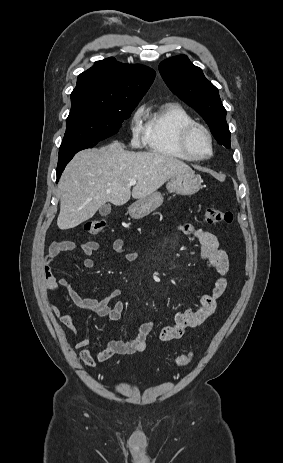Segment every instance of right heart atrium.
<instances>
[{
    "instance_id": "obj_1",
    "label": "right heart atrium",
    "mask_w": 283,
    "mask_h": 463,
    "mask_svg": "<svg viewBox=\"0 0 283 463\" xmlns=\"http://www.w3.org/2000/svg\"><path fill=\"white\" fill-rule=\"evenodd\" d=\"M130 131H131V142L133 145H139L142 137H143V126L141 123V111L137 110L131 119L130 123Z\"/></svg>"
}]
</instances>
